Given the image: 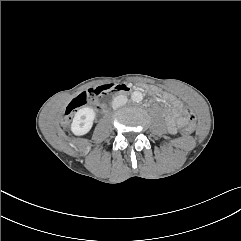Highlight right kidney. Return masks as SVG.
I'll list each match as a JSON object with an SVG mask.
<instances>
[{
	"label": "right kidney",
	"mask_w": 241,
	"mask_h": 241,
	"mask_svg": "<svg viewBox=\"0 0 241 241\" xmlns=\"http://www.w3.org/2000/svg\"><path fill=\"white\" fill-rule=\"evenodd\" d=\"M95 115V111L90 107H84L79 109L75 113L71 124L72 133L77 136L87 134L93 126Z\"/></svg>",
	"instance_id": "right-kidney-1"
}]
</instances>
